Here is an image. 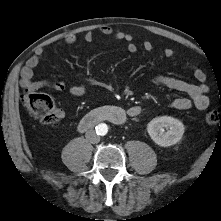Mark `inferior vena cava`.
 <instances>
[{"instance_id": "obj_1", "label": "inferior vena cava", "mask_w": 221, "mask_h": 221, "mask_svg": "<svg viewBox=\"0 0 221 221\" xmlns=\"http://www.w3.org/2000/svg\"><path fill=\"white\" fill-rule=\"evenodd\" d=\"M87 141L92 144L98 143L100 141L99 135L96 134L94 130H88L85 134Z\"/></svg>"}]
</instances>
